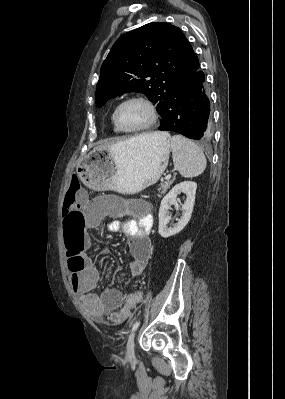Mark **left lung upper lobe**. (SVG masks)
<instances>
[{
	"label": "left lung upper lobe",
	"instance_id": "obj_1",
	"mask_svg": "<svg viewBox=\"0 0 285 399\" xmlns=\"http://www.w3.org/2000/svg\"><path fill=\"white\" fill-rule=\"evenodd\" d=\"M199 64L185 34L166 22L149 23L120 36L101 66L95 101L142 92L157 103L164 122L177 83Z\"/></svg>",
	"mask_w": 285,
	"mask_h": 399
}]
</instances>
